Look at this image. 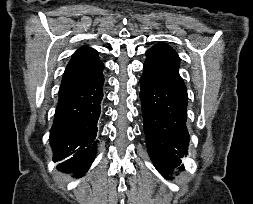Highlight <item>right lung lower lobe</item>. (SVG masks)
Instances as JSON below:
<instances>
[{"instance_id":"1","label":"right lung lower lobe","mask_w":253,"mask_h":204,"mask_svg":"<svg viewBox=\"0 0 253 204\" xmlns=\"http://www.w3.org/2000/svg\"><path fill=\"white\" fill-rule=\"evenodd\" d=\"M103 69L104 65L93 49L76 57L66 67L50 130L53 159H66L58 168L83 174L95 159Z\"/></svg>"}]
</instances>
